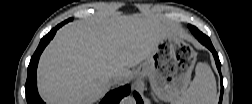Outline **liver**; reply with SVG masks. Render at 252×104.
I'll use <instances>...</instances> for the list:
<instances>
[{
    "instance_id": "1",
    "label": "liver",
    "mask_w": 252,
    "mask_h": 104,
    "mask_svg": "<svg viewBox=\"0 0 252 104\" xmlns=\"http://www.w3.org/2000/svg\"><path fill=\"white\" fill-rule=\"evenodd\" d=\"M172 29L164 18L141 14L97 16L63 26L41 55L38 89L51 104H94L153 53Z\"/></svg>"
}]
</instances>
